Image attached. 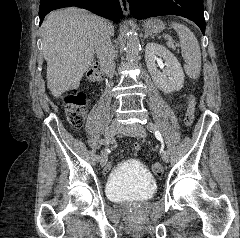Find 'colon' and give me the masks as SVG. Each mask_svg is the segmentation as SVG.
Here are the masks:
<instances>
[{"label":"colon","mask_w":240,"mask_h":238,"mask_svg":"<svg viewBox=\"0 0 240 238\" xmlns=\"http://www.w3.org/2000/svg\"><path fill=\"white\" fill-rule=\"evenodd\" d=\"M88 77L92 82H99L101 79L100 68H91L88 72ZM66 117L68 122L75 128L83 126L86 117L87 96L83 90L73 89L65 98ZM195 115V98L190 96L188 99V107L185 116L187 125L192 124ZM152 171L156 175H161L164 167L161 163H155L152 166Z\"/></svg>","instance_id":"5ec220e1"}]
</instances>
